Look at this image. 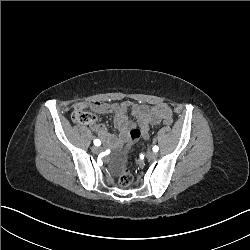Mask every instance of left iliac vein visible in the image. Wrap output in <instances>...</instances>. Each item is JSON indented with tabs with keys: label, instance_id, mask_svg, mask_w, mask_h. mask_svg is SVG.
Returning a JSON list of instances; mask_svg holds the SVG:
<instances>
[{
	"label": "left iliac vein",
	"instance_id": "4c4485c4",
	"mask_svg": "<svg viewBox=\"0 0 250 250\" xmlns=\"http://www.w3.org/2000/svg\"><path fill=\"white\" fill-rule=\"evenodd\" d=\"M158 157V154L156 153V152H148L147 153V158L149 159V160H154V159H156Z\"/></svg>",
	"mask_w": 250,
	"mask_h": 250
}]
</instances>
